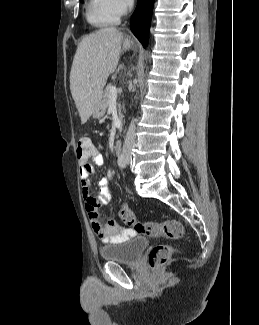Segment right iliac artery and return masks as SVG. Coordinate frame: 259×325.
<instances>
[{
    "label": "right iliac artery",
    "instance_id": "1",
    "mask_svg": "<svg viewBox=\"0 0 259 325\" xmlns=\"http://www.w3.org/2000/svg\"><path fill=\"white\" fill-rule=\"evenodd\" d=\"M118 165L122 168L123 165H127V159L123 154L118 157Z\"/></svg>",
    "mask_w": 259,
    "mask_h": 325
}]
</instances>
